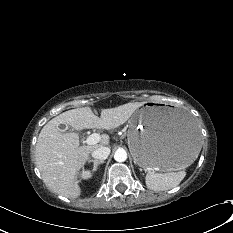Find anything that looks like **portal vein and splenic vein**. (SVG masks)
<instances>
[{"instance_id":"1","label":"portal vein and splenic vein","mask_w":233,"mask_h":233,"mask_svg":"<svg viewBox=\"0 0 233 233\" xmlns=\"http://www.w3.org/2000/svg\"><path fill=\"white\" fill-rule=\"evenodd\" d=\"M100 139H101V136L98 133H93L87 137L86 143L88 145H95L100 141Z\"/></svg>"}]
</instances>
